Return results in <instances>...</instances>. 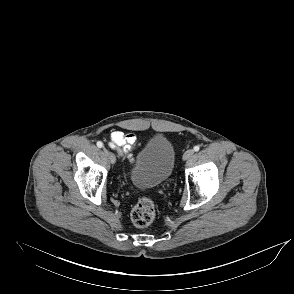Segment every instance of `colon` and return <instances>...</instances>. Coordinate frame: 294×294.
Returning a JSON list of instances; mask_svg holds the SVG:
<instances>
[{"label": "colon", "mask_w": 294, "mask_h": 294, "mask_svg": "<svg viewBox=\"0 0 294 294\" xmlns=\"http://www.w3.org/2000/svg\"><path fill=\"white\" fill-rule=\"evenodd\" d=\"M155 218V206L148 197H142L138 200L131 212V219L137 227L149 226Z\"/></svg>", "instance_id": "colon-1"}]
</instances>
